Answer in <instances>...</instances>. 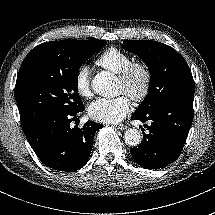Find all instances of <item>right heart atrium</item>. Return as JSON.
<instances>
[{"instance_id": "d8ad5b80", "label": "right heart atrium", "mask_w": 215, "mask_h": 215, "mask_svg": "<svg viewBox=\"0 0 215 215\" xmlns=\"http://www.w3.org/2000/svg\"><path fill=\"white\" fill-rule=\"evenodd\" d=\"M90 71L86 66L80 67L74 76V85L76 93L82 98H89L92 95L90 83Z\"/></svg>"}]
</instances>
